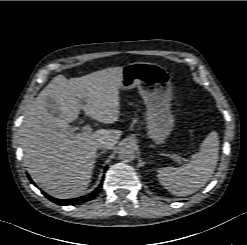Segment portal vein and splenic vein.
Masks as SVG:
<instances>
[{
	"mask_svg": "<svg viewBox=\"0 0 247 245\" xmlns=\"http://www.w3.org/2000/svg\"><path fill=\"white\" fill-rule=\"evenodd\" d=\"M78 128L76 127V128H73V130H77ZM72 130V131H73ZM82 130L83 131H85L86 133H91V126L90 125H84L83 127H82ZM175 159H176V161L178 162V163H181V161H182V158L180 157V156H176L175 157Z\"/></svg>",
	"mask_w": 247,
	"mask_h": 245,
	"instance_id": "obj_1",
	"label": "portal vein and splenic vein"
}]
</instances>
